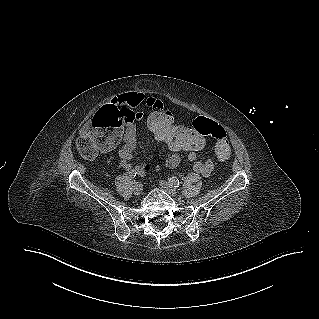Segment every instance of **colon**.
<instances>
[{"instance_id": "obj_1", "label": "colon", "mask_w": 319, "mask_h": 319, "mask_svg": "<svg viewBox=\"0 0 319 319\" xmlns=\"http://www.w3.org/2000/svg\"><path fill=\"white\" fill-rule=\"evenodd\" d=\"M145 120L153 138L160 141L161 145L170 151L199 153L204 150L207 144L206 136H209L215 140L217 158L224 161L230 157L231 148L226 139L227 130L206 116H198L192 122V128L177 124L168 110L162 113H149L148 111ZM196 130L201 131L203 135H197ZM76 148L86 159H92L99 153L90 146L87 136L77 140ZM147 170L148 168H145L143 171Z\"/></svg>"}]
</instances>
